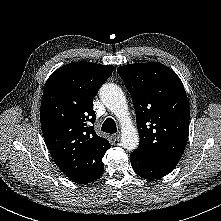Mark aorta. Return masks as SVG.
Returning a JSON list of instances; mask_svg holds the SVG:
<instances>
[{
    "label": "aorta",
    "instance_id": "1",
    "mask_svg": "<svg viewBox=\"0 0 221 221\" xmlns=\"http://www.w3.org/2000/svg\"><path fill=\"white\" fill-rule=\"evenodd\" d=\"M103 104L118 118L121 125V145L132 151L138 147L139 135L129 118L128 105L122 89L113 83L103 84L99 90Z\"/></svg>",
    "mask_w": 221,
    "mask_h": 221
}]
</instances>
